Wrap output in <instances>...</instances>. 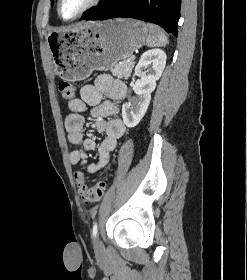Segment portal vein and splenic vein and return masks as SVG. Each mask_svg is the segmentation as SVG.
Returning <instances> with one entry per match:
<instances>
[{"label": "portal vein and splenic vein", "instance_id": "obj_1", "mask_svg": "<svg viewBox=\"0 0 247 280\" xmlns=\"http://www.w3.org/2000/svg\"><path fill=\"white\" fill-rule=\"evenodd\" d=\"M135 59V56H132L131 58H130V60H134Z\"/></svg>", "mask_w": 247, "mask_h": 280}]
</instances>
